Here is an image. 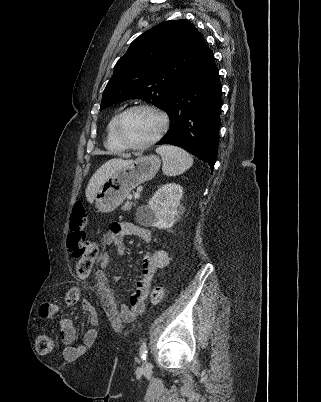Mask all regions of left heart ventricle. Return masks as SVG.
<instances>
[{
    "mask_svg": "<svg viewBox=\"0 0 321 402\" xmlns=\"http://www.w3.org/2000/svg\"><path fill=\"white\" fill-rule=\"evenodd\" d=\"M161 128L160 117L148 110H134L123 119L121 132L132 144H142L157 135Z\"/></svg>",
    "mask_w": 321,
    "mask_h": 402,
    "instance_id": "left-heart-ventricle-1",
    "label": "left heart ventricle"
}]
</instances>
